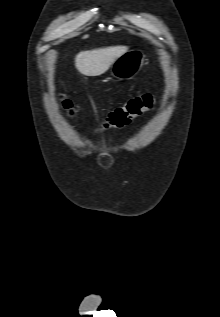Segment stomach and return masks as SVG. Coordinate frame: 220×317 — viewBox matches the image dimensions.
<instances>
[{
  "instance_id": "stomach-1",
  "label": "stomach",
  "mask_w": 220,
  "mask_h": 317,
  "mask_svg": "<svg viewBox=\"0 0 220 317\" xmlns=\"http://www.w3.org/2000/svg\"><path fill=\"white\" fill-rule=\"evenodd\" d=\"M145 55L139 49L123 53L111 66V75L119 80H131L141 70Z\"/></svg>"
}]
</instances>
